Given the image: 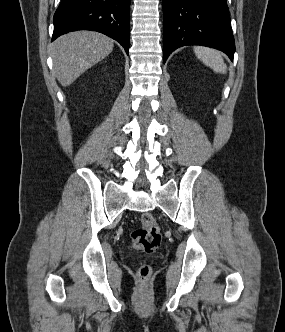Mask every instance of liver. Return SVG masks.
I'll return each instance as SVG.
<instances>
[{
  "label": "liver",
  "instance_id": "6515ba94",
  "mask_svg": "<svg viewBox=\"0 0 285 332\" xmlns=\"http://www.w3.org/2000/svg\"><path fill=\"white\" fill-rule=\"evenodd\" d=\"M113 40L94 31H75L60 36L52 45L54 72L67 87L113 50Z\"/></svg>",
  "mask_w": 285,
  "mask_h": 332
}]
</instances>
